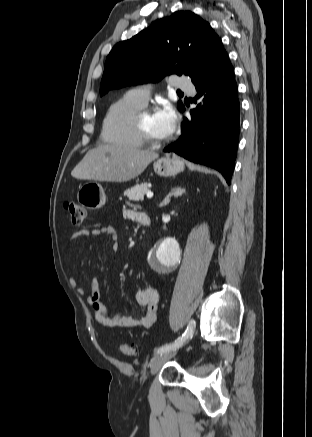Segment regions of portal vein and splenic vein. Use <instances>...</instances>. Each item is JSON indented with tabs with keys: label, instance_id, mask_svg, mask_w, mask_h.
<instances>
[{
	"label": "portal vein and splenic vein",
	"instance_id": "1",
	"mask_svg": "<svg viewBox=\"0 0 312 437\" xmlns=\"http://www.w3.org/2000/svg\"><path fill=\"white\" fill-rule=\"evenodd\" d=\"M147 198H152L153 197V192H147Z\"/></svg>",
	"mask_w": 312,
	"mask_h": 437
}]
</instances>
